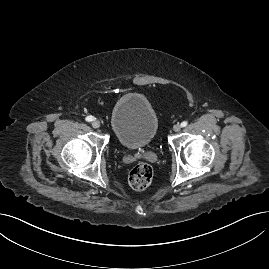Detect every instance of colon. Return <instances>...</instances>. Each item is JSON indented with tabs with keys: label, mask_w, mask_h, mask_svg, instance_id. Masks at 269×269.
I'll use <instances>...</instances> for the list:
<instances>
[{
	"label": "colon",
	"mask_w": 269,
	"mask_h": 269,
	"mask_svg": "<svg viewBox=\"0 0 269 269\" xmlns=\"http://www.w3.org/2000/svg\"><path fill=\"white\" fill-rule=\"evenodd\" d=\"M153 179V170L148 164H138L129 172L128 181L135 190H144L148 188Z\"/></svg>",
	"instance_id": "1"
}]
</instances>
